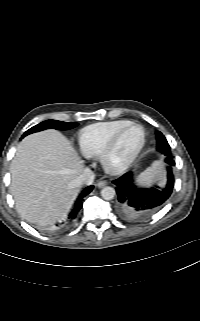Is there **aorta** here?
Listing matches in <instances>:
<instances>
[{
  "instance_id": "obj_1",
  "label": "aorta",
  "mask_w": 200,
  "mask_h": 321,
  "mask_svg": "<svg viewBox=\"0 0 200 321\" xmlns=\"http://www.w3.org/2000/svg\"><path fill=\"white\" fill-rule=\"evenodd\" d=\"M115 195V189L112 187L106 186L101 190V196L105 200H111L115 197Z\"/></svg>"
}]
</instances>
